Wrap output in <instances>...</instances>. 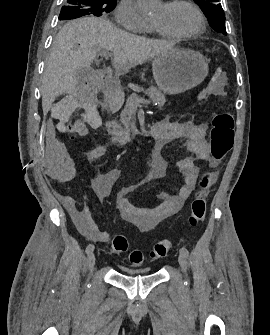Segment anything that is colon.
<instances>
[{
  "instance_id": "5ec220e1",
  "label": "colon",
  "mask_w": 270,
  "mask_h": 335,
  "mask_svg": "<svg viewBox=\"0 0 270 335\" xmlns=\"http://www.w3.org/2000/svg\"><path fill=\"white\" fill-rule=\"evenodd\" d=\"M226 85V76L223 68L214 69L210 79L204 89L205 97L219 95ZM84 135V133H80ZM234 143V119L229 112H218L212 119L210 132V155L216 161H222L232 149ZM216 180L215 170L204 172L200 188L196 191L188 213V223L197 226L202 223L205 217L206 194L209 187ZM111 248L115 253L123 254L128 250V240L123 234L115 235L111 240ZM171 250L169 241H162L154 245L148 254L139 250H132L129 254V262L133 265H143L148 261H153L166 256Z\"/></svg>"
}]
</instances>
